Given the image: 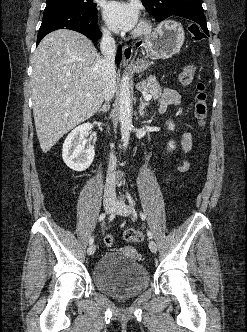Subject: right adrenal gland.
Segmentation results:
<instances>
[{
	"mask_svg": "<svg viewBox=\"0 0 247 332\" xmlns=\"http://www.w3.org/2000/svg\"><path fill=\"white\" fill-rule=\"evenodd\" d=\"M110 109V104L109 102L104 104L99 110L98 113L102 112V113H106L107 111H109Z\"/></svg>",
	"mask_w": 247,
	"mask_h": 332,
	"instance_id": "obj_1",
	"label": "right adrenal gland"
}]
</instances>
